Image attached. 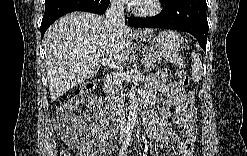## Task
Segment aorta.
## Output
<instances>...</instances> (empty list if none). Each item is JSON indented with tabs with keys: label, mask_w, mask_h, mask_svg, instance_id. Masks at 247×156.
I'll use <instances>...</instances> for the list:
<instances>
[{
	"label": "aorta",
	"mask_w": 247,
	"mask_h": 156,
	"mask_svg": "<svg viewBox=\"0 0 247 156\" xmlns=\"http://www.w3.org/2000/svg\"><path fill=\"white\" fill-rule=\"evenodd\" d=\"M138 115V100L136 97V90L132 88L129 92V106H128V121L130 124L135 125L137 123Z\"/></svg>",
	"instance_id": "762f6f07"
}]
</instances>
